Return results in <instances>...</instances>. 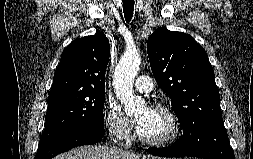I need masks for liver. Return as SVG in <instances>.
I'll return each instance as SVG.
<instances>
[{"mask_svg":"<svg viewBox=\"0 0 253 159\" xmlns=\"http://www.w3.org/2000/svg\"><path fill=\"white\" fill-rule=\"evenodd\" d=\"M147 157L153 156L148 155ZM53 159H146V156H141L125 150L114 149L108 146L86 145L74 148Z\"/></svg>","mask_w":253,"mask_h":159,"instance_id":"obj_1","label":"liver"}]
</instances>
